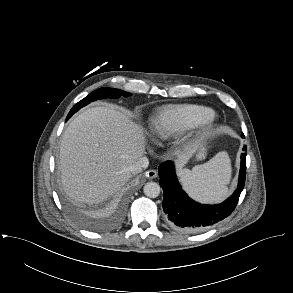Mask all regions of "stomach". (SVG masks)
I'll use <instances>...</instances> for the list:
<instances>
[{
	"label": "stomach",
	"mask_w": 293,
	"mask_h": 293,
	"mask_svg": "<svg viewBox=\"0 0 293 293\" xmlns=\"http://www.w3.org/2000/svg\"><path fill=\"white\" fill-rule=\"evenodd\" d=\"M205 151L206 148L204 145L199 146L196 151L194 152V155L196 157V159L201 160L205 157ZM182 171H187L186 169H183Z\"/></svg>",
	"instance_id": "1"
}]
</instances>
